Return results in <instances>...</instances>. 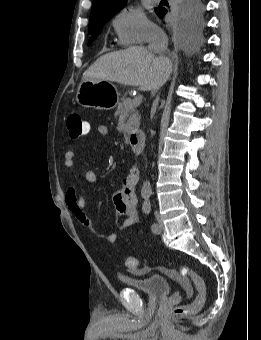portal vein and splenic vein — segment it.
I'll return each mask as SVG.
<instances>
[{"instance_id":"portal-vein-and-splenic-vein-1","label":"portal vein and splenic vein","mask_w":261,"mask_h":340,"mask_svg":"<svg viewBox=\"0 0 261 340\" xmlns=\"http://www.w3.org/2000/svg\"><path fill=\"white\" fill-rule=\"evenodd\" d=\"M142 99H143V96H141V95L134 97L129 104L130 108H135V107L139 106L140 103L142 102Z\"/></svg>"}]
</instances>
